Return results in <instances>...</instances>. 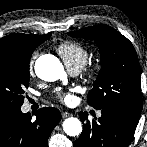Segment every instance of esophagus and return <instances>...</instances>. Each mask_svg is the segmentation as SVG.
Wrapping results in <instances>:
<instances>
[{"label":"esophagus","instance_id":"esophagus-1","mask_svg":"<svg viewBox=\"0 0 147 147\" xmlns=\"http://www.w3.org/2000/svg\"><path fill=\"white\" fill-rule=\"evenodd\" d=\"M70 115H71V113H69V112H62V114H61L62 118H67Z\"/></svg>","mask_w":147,"mask_h":147}]
</instances>
